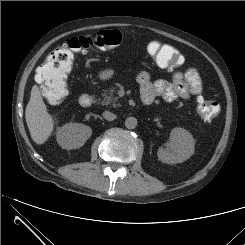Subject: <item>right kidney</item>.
I'll return each instance as SVG.
<instances>
[{"mask_svg": "<svg viewBox=\"0 0 245 245\" xmlns=\"http://www.w3.org/2000/svg\"><path fill=\"white\" fill-rule=\"evenodd\" d=\"M92 129L80 123H68L58 128L57 142L66 150L77 149L90 138Z\"/></svg>", "mask_w": 245, "mask_h": 245, "instance_id": "right-kidney-1", "label": "right kidney"}]
</instances>
